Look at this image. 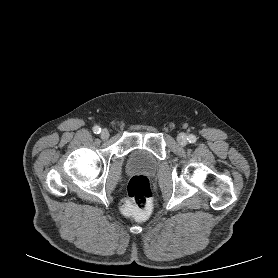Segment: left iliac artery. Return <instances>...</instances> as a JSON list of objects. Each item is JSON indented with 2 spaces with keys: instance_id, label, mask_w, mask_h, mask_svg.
I'll list each match as a JSON object with an SVG mask.
<instances>
[{
  "instance_id": "1",
  "label": "left iliac artery",
  "mask_w": 278,
  "mask_h": 278,
  "mask_svg": "<svg viewBox=\"0 0 278 278\" xmlns=\"http://www.w3.org/2000/svg\"><path fill=\"white\" fill-rule=\"evenodd\" d=\"M187 139L190 143L196 142V137L194 135H189Z\"/></svg>"
}]
</instances>
